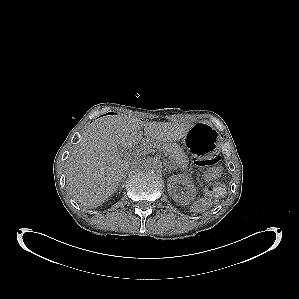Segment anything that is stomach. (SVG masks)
<instances>
[{
  "label": "stomach",
  "instance_id": "1",
  "mask_svg": "<svg viewBox=\"0 0 299 299\" xmlns=\"http://www.w3.org/2000/svg\"><path fill=\"white\" fill-rule=\"evenodd\" d=\"M218 133L208 122L192 125L184 135L186 150L195 157H206L217 147Z\"/></svg>",
  "mask_w": 299,
  "mask_h": 299
}]
</instances>
